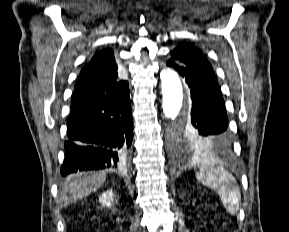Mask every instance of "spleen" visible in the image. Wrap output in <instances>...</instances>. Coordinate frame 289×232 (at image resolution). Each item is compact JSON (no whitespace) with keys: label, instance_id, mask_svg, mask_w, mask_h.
I'll return each mask as SVG.
<instances>
[{"label":"spleen","instance_id":"1","mask_svg":"<svg viewBox=\"0 0 289 232\" xmlns=\"http://www.w3.org/2000/svg\"><path fill=\"white\" fill-rule=\"evenodd\" d=\"M198 181L213 189L226 211L236 215L240 208L241 191L235 177L222 166L203 165L196 175Z\"/></svg>","mask_w":289,"mask_h":232}]
</instances>
